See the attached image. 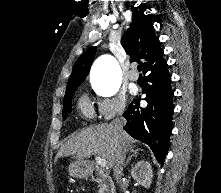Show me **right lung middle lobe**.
I'll list each match as a JSON object with an SVG mask.
<instances>
[{"label": "right lung middle lobe", "instance_id": "dd1d6c3e", "mask_svg": "<svg viewBox=\"0 0 221 193\" xmlns=\"http://www.w3.org/2000/svg\"><path fill=\"white\" fill-rule=\"evenodd\" d=\"M79 85H75V86H72V87H68L67 90H66V93H65V97H64V106H63V116H64V119L66 118L67 113H70L71 112V101H72V97H73V94L75 93L76 89L78 88Z\"/></svg>", "mask_w": 221, "mask_h": 193}]
</instances>
